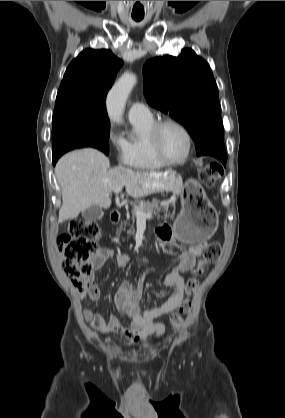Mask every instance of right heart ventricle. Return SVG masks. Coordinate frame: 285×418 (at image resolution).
Returning <instances> with one entry per match:
<instances>
[{
  "mask_svg": "<svg viewBox=\"0 0 285 418\" xmlns=\"http://www.w3.org/2000/svg\"><path fill=\"white\" fill-rule=\"evenodd\" d=\"M134 135L125 140L128 150L129 164L140 169H159L166 164L158 160L148 143V135L155 124L153 119L147 121H132Z\"/></svg>",
  "mask_w": 285,
  "mask_h": 418,
  "instance_id": "obj_1",
  "label": "right heart ventricle"
}]
</instances>
